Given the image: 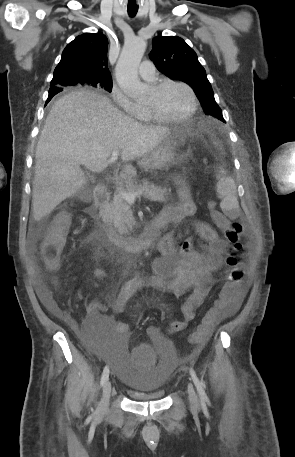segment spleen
Listing matches in <instances>:
<instances>
[{
    "mask_svg": "<svg viewBox=\"0 0 295 457\" xmlns=\"http://www.w3.org/2000/svg\"><path fill=\"white\" fill-rule=\"evenodd\" d=\"M217 193L223 197L220 204L222 211L229 217L233 218L239 211V203L237 200L236 184L231 177L226 176L224 169L220 170L219 180L216 184Z\"/></svg>",
    "mask_w": 295,
    "mask_h": 457,
    "instance_id": "spleen-1",
    "label": "spleen"
}]
</instances>
